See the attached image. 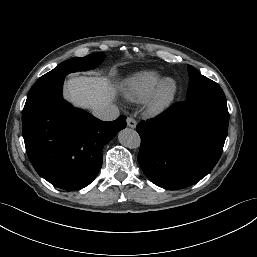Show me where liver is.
Here are the masks:
<instances>
[{"label": "liver", "mask_w": 257, "mask_h": 257, "mask_svg": "<svg viewBox=\"0 0 257 257\" xmlns=\"http://www.w3.org/2000/svg\"><path fill=\"white\" fill-rule=\"evenodd\" d=\"M64 96L77 107L94 110L111 105L116 89L105 77L78 76L67 81Z\"/></svg>", "instance_id": "obj_1"}]
</instances>
